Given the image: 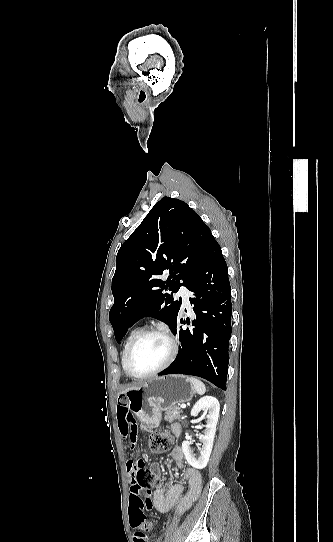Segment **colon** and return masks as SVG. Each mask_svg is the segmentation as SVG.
<instances>
[{"mask_svg":"<svg viewBox=\"0 0 333 542\" xmlns=\"http://www.w3.org/2000/svg\"><path fill=\"white\" fill-rule=\"evenodd\" d=\"M173 445V436L164 431L154 432L149 439V449L154 454H160L171 449ZM130 480H136L137 483H128L127 492L133 494V501L136 505H130L128 512L131 516L130 521L134 525L149 523L151 514L152 501L150 493L146 500H143L144 494L148 493L149 487H154L159 484L158 476L155 472L145 468V463L141 460L128 461ZM148 529V527H146ZM140 542L149 541L146 536L141 534L138 536Z\"/></svg>","mask_w":333,"mask_h":542,"instance_id":"1","label":"colon"}]
</instances>
